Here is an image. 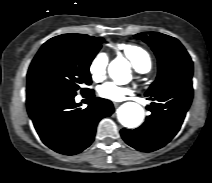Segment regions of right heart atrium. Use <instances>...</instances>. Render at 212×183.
<instances>
[{"label":"right heart atrium","instance_id":"right-heart-atrium-1","mask_svg":"<svg viewBox=\"0 0 212 183\" xmlns=\"http://www.w3.org/2000/svg\"><path fill=\"white\" fill-rule=\"evenodd\" d=\"M107 64L108 56L103 52L96 54L91 60L88 70L94 81H100L103 79L106 73Z\"/></svg>","mask_w":212,"mask_h":183}]
</instances>
